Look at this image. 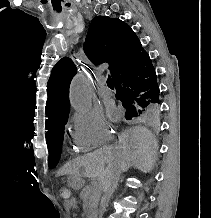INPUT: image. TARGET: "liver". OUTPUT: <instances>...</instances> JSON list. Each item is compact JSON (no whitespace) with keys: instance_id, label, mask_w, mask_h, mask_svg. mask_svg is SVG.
<instances>
[{"instance_id":"obj_1","label":"liver","mask_w":211,"mask_h":218,"mask_svg":"<svg viewBox=\"0 0 211 218\" xmlns=\"http://www.w3.org/2000/svg\"><path fill=\"white\" fill-rule=\"evenodd\" d=\"M118 138L116 148H103L79 158V166L85 168L87 178H96L98 182H105L113 170L127 172L132 166L141 172L152 170L158 146L155 138L146 128L140 126L129 128ZM65 174H68V170H65Z\"/></svg>"}]
</instances>
